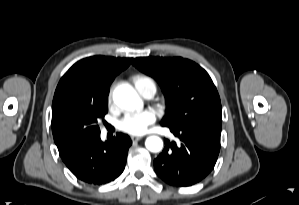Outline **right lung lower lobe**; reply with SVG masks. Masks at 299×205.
Returning <instances> with one entry per match:
<instances>
[{
    "label": "right lung lower lobe",
    "instance_id": "98d812e1",
    "mask_svg": "<svg viewBox=\"0 0 299 205\" xmlns=\"http://www.w3.org/2000/svg\"><path fill=\"white\" fill-rule=\"evenodd\" d=\"M131 144L129 136L122 133H117L112 141L103 143L98 133L59 151V154L79 180L102 185L121 175Z\"/></svg>",
    "mask_w": 299,
    "mask_h": 205
}]
</instances>
